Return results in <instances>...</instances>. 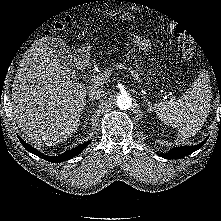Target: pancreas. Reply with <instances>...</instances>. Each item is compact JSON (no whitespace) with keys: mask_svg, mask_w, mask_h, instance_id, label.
<instances>
[{"mask_svg":"<svg viewBox=\"0 0 221 221\" xmlns=\"http://www.w3.org/2000/svg\"><path fill=\"white\" fill-rule=\"evenodd\" d=\"M108 72H110L111 70H112V67L110 66V67H108ZM156 77H154V76H147L146 78H145V80H149V81H152V80H154Z\"/></svg>","mask_w":221,"mask_h":221,"instance_id":"pancreas-1","label":"pancreas"}]
</instances>
